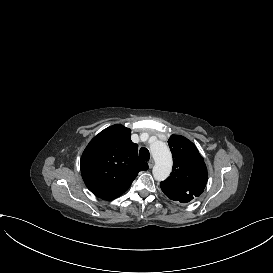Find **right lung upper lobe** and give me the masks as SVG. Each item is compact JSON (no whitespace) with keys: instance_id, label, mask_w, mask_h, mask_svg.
<instances>
[{"instance_id":"obj_1","label":"right lung upper lobe","mask_w":273,"mask_h":273,"mask_svg":"<svg viewBox=\"0 0 273 273\" xmlns=\"http://www.w3.org/2000/svg\"><path fill=\"white\" fill-rule=\"evenodd\" d=\"M131 130L116 124L95 136L81 157L80 167L87 188L97 197L113 200L123 194L148 164L138 157Z\"/></svg>"}]
</instances>
